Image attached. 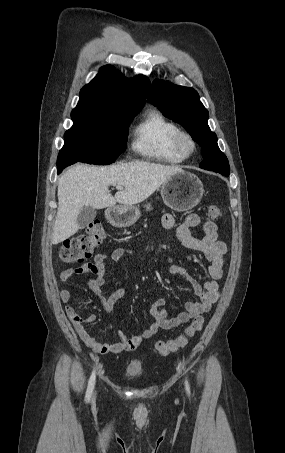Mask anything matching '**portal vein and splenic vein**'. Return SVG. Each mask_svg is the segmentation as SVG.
Wrapping results in <instances>:
<instances>
[{
	"label": "portal vein and splenic vein",
	"instance_id": "1",
	"mask_svg": "<svg viewBox=\"0 0 285 453\" xmlns=\"http://www.w3.org/2000/svg\"><path fill=\"white\" fill-rule=\"evenodd\" d=\"M116 189L121 190L123 188L121 186H116Z\"/></svg>",
	"mask_w": 285,
	"mask_h": 453
}]
</instances>
